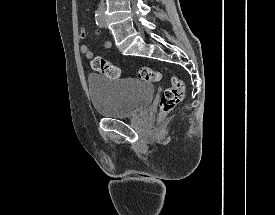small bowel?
<instances>
[{"mask_svg": "<svg viewBox=\"0 0 275 215\" xmlns=\"http://www.w3.org/2000/svg\"><path fill=\"white\" fill-rule=\"evenodd\" d=\"M87 35V32L84 28H81V30L79 31L78 37L79 39H84ZM112 46V42L111 41H105L104 42V47L106 49L111 48ZM79 52L85 56L86 59L91 60L94 58V54L93 52L89 49V47L87 45H81L79 47Z\"/></svg>", "mask_w": 275, "mask_h": 215, "instance_id": "small-bowel-1", "label": "small bowel"}]
</instances>
